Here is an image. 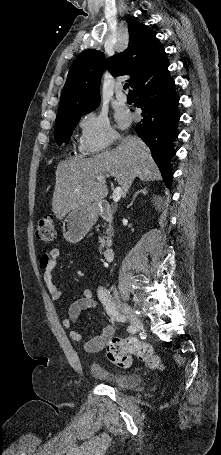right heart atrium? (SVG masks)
<instances>
[{
    "label": "right heart atrium",
    "instance_id": "d8ad5b80",
    "mask_svg": "<svg viewBox=\"0 0 221 455\" xmlns=\"http://www.w3.org/2000/svg\"><path fill=\"white\" fill-rule=\"evenodd\" d=\"M78 127V149L85 155L107 151L118 137L108 117L102 112L90 111L84 114L79 119Z\"/></svg>",
    "mask_w": 221,
    "mask_h": 455
}]
</instances>
